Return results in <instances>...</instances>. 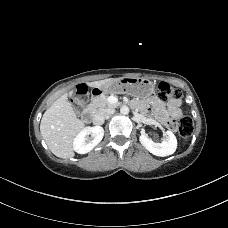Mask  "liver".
Segmentation results:
<instances>
[{
    "instance_id": "liver-1",
    "label": "liver",
    "mask_w": 228,
    "mask_h": 228,
    "mask_svg": "<svg viewBox=\"0 0 228 228\" xmlns=\"http://www.w3.org/2000/svg\"><path fill=\"white\" fill-rule=\"evenodd\" d=\"M114 80L113 78L87 83L89 87L96 88ZM84 128V123L77 118L68 94L61 95L45 111L40 123V132L50 151L59 158H71L75 153L73 141Z\"/></svg>"
}]
</instances>
